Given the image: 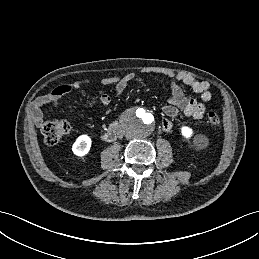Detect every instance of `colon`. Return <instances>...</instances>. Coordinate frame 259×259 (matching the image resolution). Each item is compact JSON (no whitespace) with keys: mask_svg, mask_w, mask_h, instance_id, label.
<instances>
[{"mask_svg":"<svg viewBox=\"0 0 259 259\" xmlns=\"http://www.w3.org/2000/svg\"><path fill=\"white\" fill-rule=\"evenodd\" d=\"M207 122L212 128H217L220 124V118L215 112L207 113ZM44 141L48 145L57 144L70 131V125L65 120L48 121L42 126Z\"/></svg>","mask_w":259,"mask_h":259,"instance_id":"colon-1","label":"colon"}]
</instances>
